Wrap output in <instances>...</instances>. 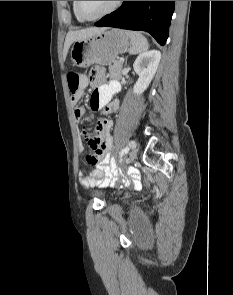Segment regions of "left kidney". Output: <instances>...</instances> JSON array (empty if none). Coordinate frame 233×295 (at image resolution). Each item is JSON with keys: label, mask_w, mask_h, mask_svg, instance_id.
<instances>
[{"label": "left kidney", "mask_w": 233, "mask_h": 295, "mask_svg": "<svg viewBox=\"0 0 233 295\" xmlns=\"http://www.w3.org/2000/svg\"><path fill=\"white\" fill-rule=\"evenodd\" d=\"M161 53L158 50H149L141 53L135 60L133 67L139 78L134 85V93L142 94L151 83L159 62Z\"/></svg>", "instance_id": "left-kidney-1"}]
</instances>
